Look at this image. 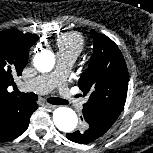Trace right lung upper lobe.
I'll return each mask as SVG.
<instances>
[{
  "label": "right lung upper lobe",
  "instance_id": "obj_1",
  "mask_svg": "<svg viewBox=\"0 0 153 153\" xmlns=\"http://www.w3.org/2000/svg\"><path fill=\"white\" fill-rule=\"evenodd\" d=\"M38 39L37 35L12 29L0 32V128L12 113L27 103L13 96L7 88L15 86L14 77L21 75L29 49Z\"/></svg>",
  "mask_w": 153,
  "mask_h": 153
}]
</instances>
